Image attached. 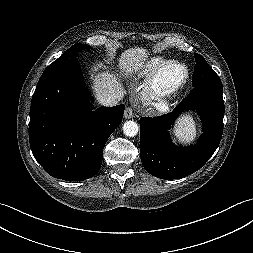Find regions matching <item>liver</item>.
Masks as SVG:
<instances>
[{"mask_svg":"<svg viewBox=\"0 0 253 253\" xmlns=\"http://www.w3.org/2000/svg\"><path fill=\"white\" fill-rule=\"evenodd\" d=\"M147 50L144 48H129L125 50L119 60V65L126 72V75L138 70L144 65L147 58ZM93 91L99 93L122 92L124 88L114 74L109 72L98 73L93 79Z\"/></svg>","mask_w":253,"mask_h":253,"instance_id":"obj_1","label":"liver"}]
</instances>
